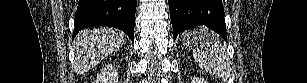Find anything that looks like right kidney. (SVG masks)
Wrapping results in <instances>:
<instances>
[{
	"instance_id": "ca27d5eb",
	"label": "right kidney",
	"mask_w": 307,
	"mask_h": 83,
	"mask_svg": "<svg viewBox=\"0 0 307 83\" xmlns=\"http://www.w3.org/2000/svg\"><path fill=\"white\" fill-rule=\"evenodd\" d=\"M118 72L112 64H107L100 70L97 75L96 83H117L118 82Z\"/></svg>"
}]
</instances>
